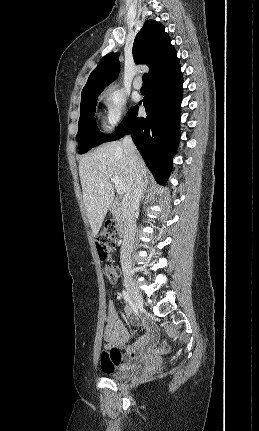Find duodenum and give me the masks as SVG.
<instances>
[{
	"label": "duodenum",
	"mask_w": 259,
	"mask_h": 431,
	"mask_svg": "<svg viewBox=\"0 0 259 431\" xmlns=\"http://www.w3.org/2000/svg\"><path fill=\"white\" fill-rule=\"evenodd\" d=\"M115 214L119 226V243L124 242L128 231V215L124 204L121 201H114L111 207Z\"/></svg>",
	"instance_id": "1"
}]
</instances>
